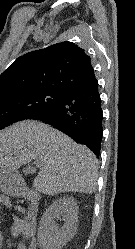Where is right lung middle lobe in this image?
<instances>
[{
  "mask_svg": "<svg viewBox=\"0 0 135 249\" xmlns=\"http://www.w3.org/2000/svg\"><path fill=\"white\" fill-rule=\"evenodd\" d=\"M63 93L33 91L0 97V130L12 123L28 119L31 115L56 101Z\"/></svg>",
  "mask_w": 135,
  "mask_h": 249,
  "instance_id": "dd1d6c3e",
  "label": "right lung middle lobe"
}]
</instances>
